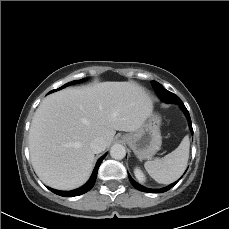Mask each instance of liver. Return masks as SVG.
Here are the masks:
<instances>
[{"mask_svg": "<svg viewBox=\"0 0 229 229\" xmlns=\"http://www.w3.org/2000/svg\"><path fill=\"white\" fill-rule=\"evenodd\" d=\"M152 111L151 99L134 82L108 81L50 94L29 131L33 169L52 188H78L92 172L90 143L101 137L110 146L116 130L137 131Z\"/></svg>", "mask_w": 229, "mask_h": 229, "instance_id": "liver-1", "label": "liver"}]
</instances>
